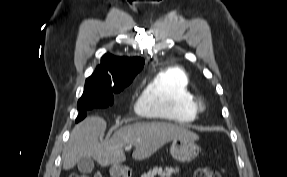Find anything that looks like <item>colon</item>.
Segmentation results:
<instances>
[{
	"label": "colon",
	"mask_w": 287,
	"mask_h": 177,
	"mask_svg": "<svg viewBox=\"0 0 287 177\" xmlns=\"http://www.w3.org/2000/svg\"><path fill=\"white\" fill-rule=\"evenodd\" d=\"M69 177H101V175L98 173L87 175L71 174ZM193 177H221V173L210 167H199L195 170Z\"/></svg>",
	"instance_id": "obj_1"
}]
</instances>
